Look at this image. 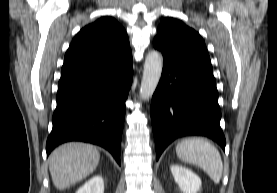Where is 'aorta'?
<instances>
[{"mask_svg": "<svg viewBox=\"0 0 277 193\" xmlns=\"http://www.w3.org/2000/svg\"><path fill=\"white\" fill-rule=\"evenodd\" d=\"M162 67V55L157 51H150L145 58L140 86V97L143 100H149L153 95L161 77Z\"/></svg>", "mask_w": 277, "mask_h": 193, "instance_id": "aorta-1", "label": "aorta"}]
</instances>
